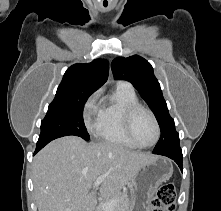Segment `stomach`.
Wrapping results in <instances>:
<instances>
[{
    "instance_id": "obj_1",
    "label": "stomach",
    "mask_w": 221,
    "mask_h": 211,
    "mask_svg": "<svg viewBox=\"0 0 221 211\" xmlns=\"http://www.w3.org/2000/svg\"><path fill=\"white\" fill-rule=\"evenodd\" d=\"M172 174L171 162L163 157H154L141 164L130 181L129 211H147L148 203L158 186L169 180Z\"/></svg>"
}]
</instances>
